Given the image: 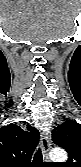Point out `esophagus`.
I'll return each mask as SVG.
<instances>
[{"label":"esophagus","mask_w":81,"mask_h":167,"mask_svg":"<svg viewBox=\"0 0 81 167\" xmlns=\"http://www.w3.org/2000/svg\"><path fill=\"white\" fill-rule=\"evenodd\" d=\"M41 146L44 161H48L49 150L51 148V133L44 131L41 133Z\"/></svg>","instance_id":"1"}]
</instances>
